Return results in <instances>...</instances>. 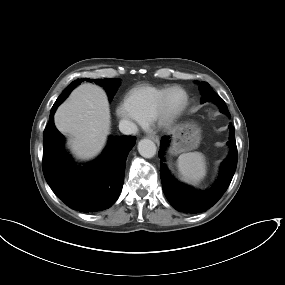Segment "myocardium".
<instances>
[{"instance_id":"obj_1","label":"myocardium","mask_w":285,"mask_h":285,"mask_svg":"<svg viewBox=\"0 0 285 285\" xmlns=\"http://www.w3.org/2000/svg\"><path fill=\"white\" fill-rule=\"evenodd\" d=\"M174 91H180L184 96L182 104L177 108H172L170 106V97ZM189 101V94L183 87L172 86L168 88L151 122H154L158 128L163 130L172 128L186 111Z\"/></svg>"}]
</instances>
